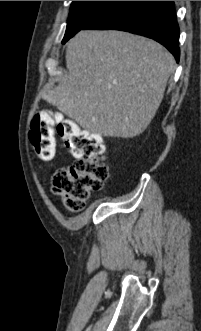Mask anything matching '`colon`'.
<instances>
[{"instance_id":"5ec220e1","label":"colon","mask_w":201,"mask_h":331,"mask_svg":"<svg viewBox=\"0 0 201 331\" xmlns=\"http://www.w3.org/2000/svg\"><path fill=\"white\" fill-rule=\"evenodd\" d=\"M54 126L75 161L54 174L53 191L62 197L69 211L79 212L91 194L103 188L108 178L104 144L101 137L82 130L72 120L41 111L33 119L30 131L31 143L41 160L49 161L54 157Z\"/></svg>"}]
</instances>
